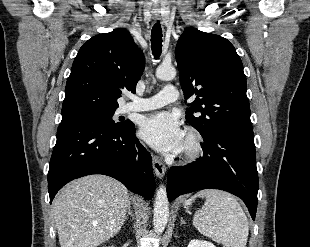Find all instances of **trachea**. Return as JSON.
<instances>
[{"label": "trachea", "instance_id": "3493384b", "mask_svg": "<svg viewBox=\"0 0 310 247\" xmlns=\"http://www.w3.org/2000/svg\"><path fill=\"white\" fill-rule=\"evenodd\" d=\"M151 48L155 58H159L162 50V29L159 22H157L151 31Z\"/></svg>", "mask_w": 310, "mask_h": 247}]
</instances>
